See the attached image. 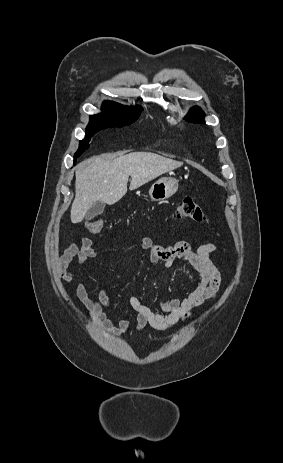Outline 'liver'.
Here are the masks:
<instances>
[{
  "instance_id": "obj_1",
  "label": "liver",
  "mask_w": 283,
  "mask_h": 463,
  "mask_svg": "<svg viewBox=\"0 0 283 463\" xmlns=\"http://www.w3.org/2000/svg\"><path fill=\"white\" fill-rule=\"evenodd\" d=\"M182 162L151 152H133L119 157L93 156L80 163L75 171V199L71 206V222L80 223L93 204L118 202L130 190L175 170Z\"/></svg>"
}]
</instances>
